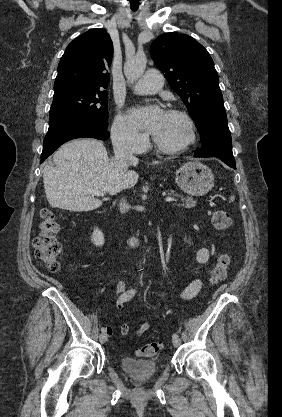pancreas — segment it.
<instances>
[{"label":"pancreas","mask_w":282,"mask_h":417,"mask_svg":"<svg viewBox=\"0 0 282 417\" xmlns=\"http://www.w3.org/2000/svg\"><path fill=\"white\" fill-rule=\"evenodd\" d=\"M168 194H172V196H180L182 204L178 202L177 206H185V209H192V206H195L196 200H194L193 196H182V194L175 192V190H168ZM184 200H186V202H184Z\"/></svg>","instance_id":"pancreas-1"}]
</instances>
